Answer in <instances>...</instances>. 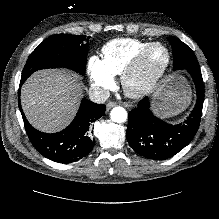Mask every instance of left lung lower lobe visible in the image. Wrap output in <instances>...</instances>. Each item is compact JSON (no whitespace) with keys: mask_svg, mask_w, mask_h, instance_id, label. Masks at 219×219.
<instances>
[{"mask_svg":"<svg viewBox=\"0 0 219 219\" xmlns=\"http://www.w3.org/2000/svg\"><path fill=\"white\" fill-rule=\"evenodd\" d=\"M195 83L197 102L187 119L172 125L154 116L148 98L129 112L127 140L138 154L154 160L170 158L187 146L196 134L204 102V86L199 69H187Z\"/></svg>","mask_w":219,"mask_h":219,"instance_id":"0a47b994","label":"left lung lower lobe"}]
</instances>
